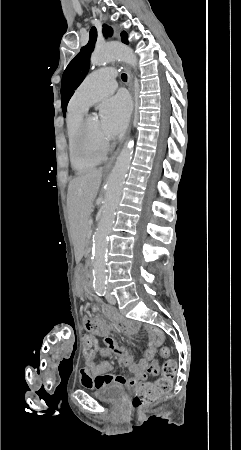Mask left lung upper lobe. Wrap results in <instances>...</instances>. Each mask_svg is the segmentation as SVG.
I'll return each instance as SVG.
<instances>
[{
	"label": "left lung upper lobe",
	"mask_w": 241,
	"mask_h": 450,
	"mask_svg": "<svg viewBox=\"0 0 241 450\" xmlns=\"http://www.w3.org/2000/svg\"><path fill=\"white\" fill-rule=\"evenodd\" d=\"M103 33L105 36L112 35V28L104 25ZM97 40V30L93 27L90 30L89 42L85 47H82L81 51L74 57L65 69L62 77L61 84V104L63 113L65 115L67 104L74 94V90L84 80L90 66V56L94 50V45ZM121 40L123 43L128 44V38L126 32L121 33Z\"/></svg>",
	"instance_id": "5c2ea615"
}]
</instances>
